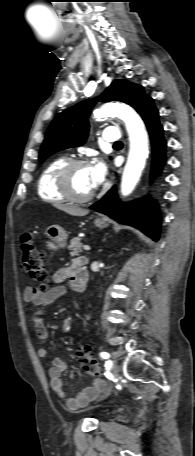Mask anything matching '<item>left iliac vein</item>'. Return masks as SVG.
<instances>
[{"instance_id":"4c4485c4","label":"left iliac vein","mask_w":195,"mask_h":456,"mask_svg":"<svg viewBox=\"0 0 195 456\" xmlns=\"http://www.w3.org/2000/svg\"><path fill=\"white\" fill-rule=\"evenodd\" d=\"M118 356H119V353H118V352H116V351L112 352V357H113V359H114V361H112V363L115 362V360L117 359ZM113 372H114V375L117 377V370H116L115 367H114ZM110 392H111V388H109V389L107 390V392L102 396V398L108 396V395L110 394Z\"/></svg>"}]
</instances>
